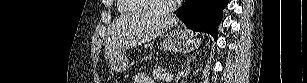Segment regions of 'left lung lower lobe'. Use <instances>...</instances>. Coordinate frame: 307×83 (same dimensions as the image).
Masks as SVG:
<instances>
[{
  "label": "left lung lower lobe",
  "instance_id": "1",
  "mask_svg": "<svg viewBox=\"0 0 307 83\" xmlns=\"http://www.w3.org/2000/svg\"><path fill=\"white\" fill-rule=\"evenodd\" d=\"M228 0H186L177 16L194 31H204L217 39L218 26Z\"/></svg>",
  "mask_w": 307,
  "mask_h": 83
}]
</instances>
